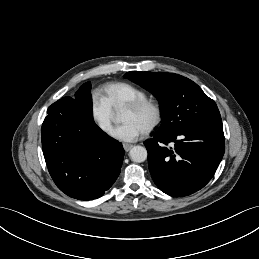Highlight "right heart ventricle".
Instances as JSON below:
<instances>
[{"instance_id": "right-heart-ventricle-1", "label": "right heart ventricle", "mask_w": 259, "mask_h": 259, "mask_svg": "<svg viewBox=\"0 0 259 259\" xmlns=\"http://www.w3.org/2000/svg\"><path fill=\"white\" fill-rule=\"evenodd\" d=\"M101 90L106 101L115 110L135 100L147 98V93L144 90L127 82L107 83Z\"/></svg>"}]
</instances>
